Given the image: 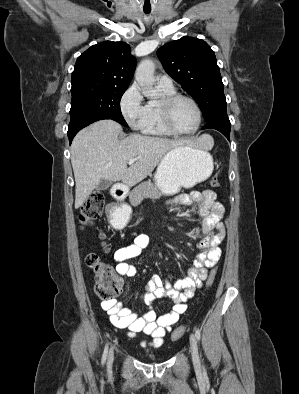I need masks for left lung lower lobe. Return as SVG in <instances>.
Returning a JSON list of instances; mask_svg holds the SVG:
<instances>
[{
    "label": "left lung lower lobe",
    "mask_w": 299,
    "mask_h": 394,
    "mask_svg": "<svg viewBox=\"0 0 299 394\" xmlns=\"http://www.w3.org/2000/svg\"><path fill=\"white\" fill-rule=\"evenodd\" d=\"M202 129H215L220 131L228 140L230 136V121L228 118L216 119L207 124Z\"/></svg>",
    "instance_id": "left-lung-lower-lobe-1"
}]
</instances>
